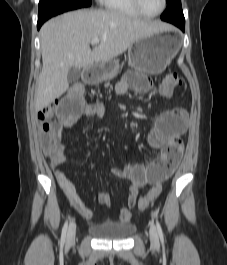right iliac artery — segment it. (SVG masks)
Masks as SVG:
<instances>
[{
  "instance_id": "right-iliac-artery-1",
  "label": "right iliac artery",
  "mask_w": 227,
  "mask_h": 265,
  "mask_svg": "<svg viewBox=\"0 0 227 265\" xmlns=\"http://www.w3.org/2000/svg\"><path fill=\"white\" fill-rule=\"evenodd\" d=\"M67 228H68V221L65 222L63 229H62V234H61V246L62 247L65 243Z\"/></svg>"
}]
</instances>
